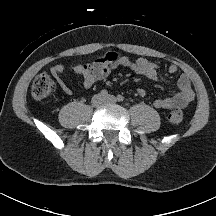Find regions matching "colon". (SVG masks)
I'll list each match as a JSON object with an SVG mask.
<instances>
[{
  "instance_id": "obj_1",
  "label": "colon",
  "mask_w": 216,
  "mask_h": 216,
  "mask_svg": "<svg viewBox=\"0 0 216 216\" xmlns=\"http://www.w3.org/2000/svg\"><path fill=\"white\" fill-rule=\"evenodd\" d=\"M54 82L47 73H41L35 77L31 86V94L37 100L47 98L54 90ZM168 120L172 125H179L183 120L181 110H173L168 115Z\"/></svg>"
}]
</instances>
